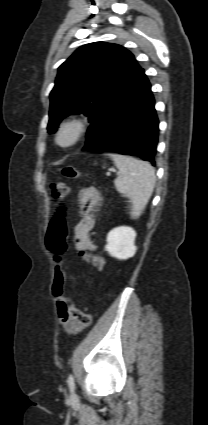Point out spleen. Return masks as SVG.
Instances as JSON below:
<instances>
[{
    "label": "spleen",
    "instance_id": "spleen-1",
    "mask_svg": "<svg viewBox=\"0 0 208 425\" xmlns=\"http://www.w3.org/2000/svg\"><path fill=\"white\" fill-rule=\"evenodd\" d=\"M122 174L114 181L116 190L129 198L131 218H138L147 205L155 186V170L145 161L119 154H110Z\"/></svg>",
    "mask_w": 208,
    "mask_h": 425
}]
</instances>
